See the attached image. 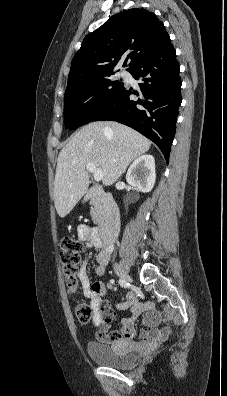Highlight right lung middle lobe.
I'll return each instance as SVG.
<instances>
[{
  "label": "right lung middle lobe",
  "instance_id": "obj_1",
  "mask_svg": "<svg viewBox=\"0 0 227 396\" xmlns=\"http://www.w3.org/2000/svg\"><path fill=\"white\" fill-rule=\"evenodd\" d=\"M112 74L109 72L66 88L64 120L67 129L72 130L92 121L124 86L119 80L112 81Z\"/></svg>",
  "mask_w": 227,
  "mask_h": 396
}]
</instances>
